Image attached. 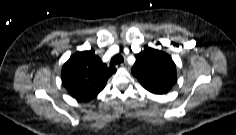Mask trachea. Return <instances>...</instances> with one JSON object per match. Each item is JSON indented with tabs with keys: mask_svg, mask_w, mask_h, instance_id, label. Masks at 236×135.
<instances>
[{
	"mask_svg": "<svg viewBox=\"0 0 236 135\" xmlns=\"http://www.w3.org/2000/svg\"><path fill=\"white\" fill-rule=\"evenodd\" d=\"M122 62H124V58L122 57V55L117 54L111 59L110 65H112V66L117 65V64H120Z\"/></svg>",
	"mask_w": 236,
	"mask_h": 135,
	"instance_id": "obj_1",
	"label": "trachea"
}]
</instances>
